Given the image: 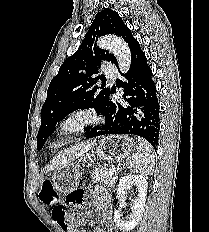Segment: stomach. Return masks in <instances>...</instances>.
Here are the masks:
<instances>
[{
	"label": "stomach",
	"mask_w": 209,
	"mask_h": 232,
	"mask_svg": "<svg viewBox=\"0 0 209 232\" xmlns=\"http://www.w3.org/2000/svg\"><path fill=\"white\" fill-rule=\"evenodd\" d=\"M135 149V143L129 136L102 137L92 155L107 162L120 161L129 157ZM81 173L77 163L70 162L56 169L52 183L57 191L69 193L80 183Z\"/></svg>",
	"instance_id": "0dacf381"
}]
</instances>
